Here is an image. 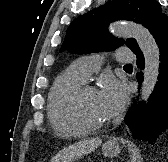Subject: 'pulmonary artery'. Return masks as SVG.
Listing matches in <instances>:
<instances>
[{
    "label": "pulmonary artery",
    "instance_id": "pulmonary-artery-1",
    "mask_svg": "<svg viewBox=\"0 0 168 162\" xmlns=\"http://www.w3.org/2000/svg\"><path fill=\"white\" fill-rule=\"evenodd\" d=\"M103 59L104 57L101 54L80 57L71 64L70 71L83 82H86L91 73L102 65ZM116 59L118 62H131L134 58L130 51L120 48L116 53Z\"/></svg>",
    "mask_w": 168,
    "mask_h": 162
}]
</instances>
